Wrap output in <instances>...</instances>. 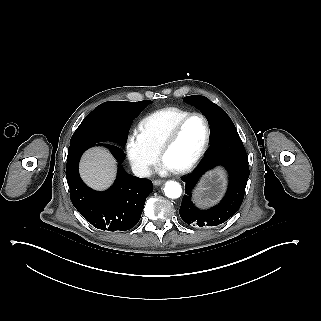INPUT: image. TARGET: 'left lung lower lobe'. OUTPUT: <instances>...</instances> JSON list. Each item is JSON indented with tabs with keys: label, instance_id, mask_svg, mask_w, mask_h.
<instances>
[{
	"label": "left lung lower lobe",
	"instance_id": "obj_1",
	"mask_svg": "<svg viewBox=\"0 0 321 321\" xmlns=\"http://www.w3.org/2000/svg\"><path fill=\"white\" fill-rule=\"evenodd\" d=\"M223 165L229 173V186L223 200L208 209H198L191 201V191L208 170ZM249 177L248 156L237 131L211 137V147L196 169L182 178L186 183L179 210L188 225L207 228L224 223L240 208Z\"/></svg>",
	"mask_w": 321,
	"mask_h": 321
}]
</instances>
